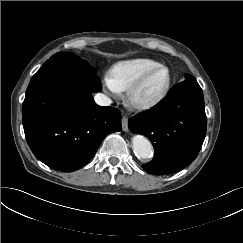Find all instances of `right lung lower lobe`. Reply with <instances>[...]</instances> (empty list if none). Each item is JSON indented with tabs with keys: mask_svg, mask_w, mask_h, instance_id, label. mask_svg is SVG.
<instances>
[{
	"mask_svg": "<svg viewBox=\"0 0 243 243\" xmlns=\"http://www.w3.org/2000/svg\"><path fill=\"white\" fill-rule=\"evenodd\" d=\"M94 73L37 72L22 106L23 127L34 155L47 166L72 172L94 156L102 140L121 130V114L98 106Z\"/></svg>",
	"mask_w": 243,
	"mask_h": 243,
	"instance_id": "obj_1",
	"label": "right lung lower lobe"
}]
</instances>
